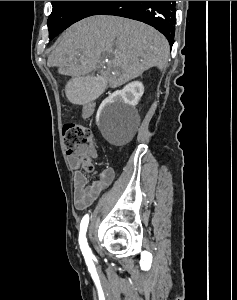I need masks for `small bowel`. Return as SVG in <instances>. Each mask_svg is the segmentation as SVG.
<instances>
[{
	"mask_svg": "<svg viewBox=\"0 0 237 300\" xmlns=\"http://www.w3.org/2000/svg\"><path fill=\"white\" fill-rule=\"evenodd\" d=\"M94 103L86 102L83 104L82 113L84 117H89L94 111ZM90 158L97 157V150L94 146L86 152ZM69 164L74 171V206L77 210L88 208L106 190L115 179V171L112 167H105L97 178L89 182L87 176L81 171V160L78 156H69Z\"/></svg>",
	"mask_w": 237,
	"mask_h": 300,
	"instance_id": "small-bowel-1",
	"label": "small bowel"
}]
</instances>
